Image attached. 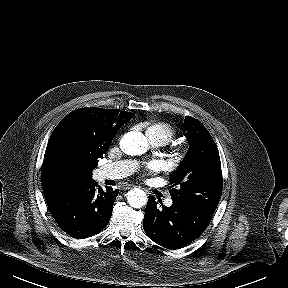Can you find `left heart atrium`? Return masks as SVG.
Wrapping results in <instances>:
<instances>
[{
	"label": "left heart atrium",
	"instance_id": "1",
	"mask_svg": "<svg viewBox=\"0 0 288 288\" xmlns=\"http://www.w3.org/2000/svg\"><path fill=\"white\" fill-rule=\"evenodd\" d=\"M158 168L157 164L156 163H151L149 166H148V169L151 170V171H154Z\"/></svg>",
	"mask_w": 288,
	"mask_h": 288
}]
</instances>
